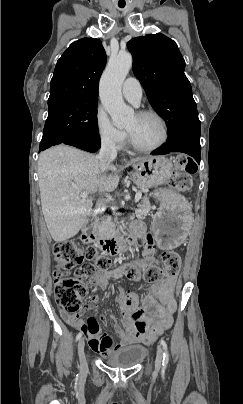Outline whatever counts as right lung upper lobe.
<instances>
[{
    "label": "right lung upper lobe",
    "instance_id": "right-lung-upper-lobe-1",
    "mask_svg": "<svg viewBox=\"0 0 243 404\" xmlns=\"http://www.w3.org/2000/svg\"><path fill=\"white\" fill-rule=\"evenodd\" d=\"M106 54L98 39L75 41L59 58L51 79L48 106L65 101L98 100Z\"/></svg>",
    "mask_w": 243,
    "mask_h": 404
}]
</instances>
